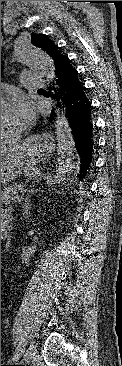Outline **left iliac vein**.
Listing matches in <instances>:
<instances>
[{
  "label": "left iliac vein",
  "instance_id": "1",
  "mask_svg": "<svg viewBox=\"0 0 122 366\" xmlns=\"http://www.w3.org/2000/svg\"><path fill=\"white\" fill-rule=\"evenodd\" d=\"M23 352H24L23 343H20L16 348V352L13 359L18 360L22 356ZM35 354H36V345L34 343H31L24 357L25 361L29 362L31 359L34 358Z\"/></svg>",
  "mask_w": 122,
  "mask_h": 366
}]
</instances>
